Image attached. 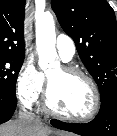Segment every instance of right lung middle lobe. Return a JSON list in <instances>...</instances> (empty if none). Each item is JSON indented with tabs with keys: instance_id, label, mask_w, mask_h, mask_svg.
Listing matches in <instances>:
<instances>
[{
	"instance_id": "1",
	"label": "right lung middle lobe",
	"mask_w": 117,
	"mask_h": 136,
	"mask_svg": "<svg viewBox=\"0 0 117 136\" xmlns=\"http://www.w3.org/2000/svg\"><path fill=\"white\" fill-rule=\"evenodd\" d=\"M24 57L0 56V92L15 94L16 81Z\"/></svg>"
}]
</instances>
